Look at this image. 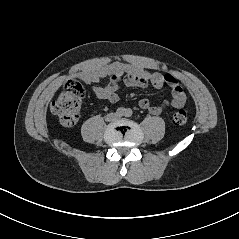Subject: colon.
I'll return each mask as SVG.
<instances>
[{"label": "colon", "instance_id": "1", "mask_svg": "<svg viewBox=\"0 0 239 239\" xmlns=\"http://www.w3.org/2000/svg\"><path fill=\"white\" fill-rule=\"evenodd\" d=\"M85 95L84 86L76 79L65 82L63 92L51 104V111L59 117L65 126L74 125L81 113V103ZM173 121L177 125H183L187 121V112L184 108H178L173 114Z\"/></svg>", "mask_w": 239, "mask_h": 239}]
</instances>
